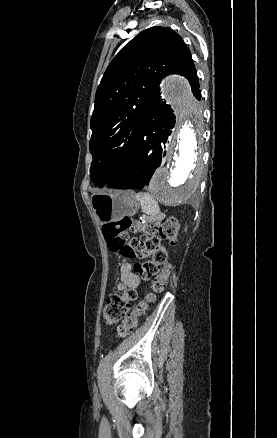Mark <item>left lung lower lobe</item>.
I'll list each match as a JSON object with an SVG mask.
<instances>
[{"label":"left lung lower lobe","instance_id":"left-lung-lower-lobe-1","mask_svg":"<svg viewBox=\"0 0 277 438\" xmlns=\"http://www.w3.org/2000/svg\"><path fill=\"white\" fill-rule=\"evenodd\" d=\"M175 125V115L162 99L147 104L138 132L134 153L122 175L108 188L142 189L166 155L165 143Z\"/></svg>","mask_w":277,"mask_h":438}]
</instances>
